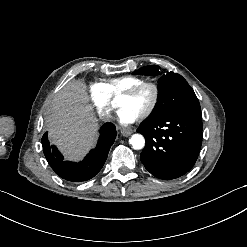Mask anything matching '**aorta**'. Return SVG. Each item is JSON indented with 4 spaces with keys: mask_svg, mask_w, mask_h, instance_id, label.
<instances>
[{
    "mask_svg": "<svg viewBox=\"0 0 247 247\" xmlns=\"http://www.w3.org/2000/svg\"><path fill=\"white\" fill-rule=\"evenodd\" d=\"M129 143L135 150H140L144 147L145 145V139L141 134H134L132 137L129 139Z\"/></svg>",
    "mask_w": 247,
    "mask_h": 247,
    "instance_id": "762f6f07",
    "label": "aorta"
}]
</instances>
